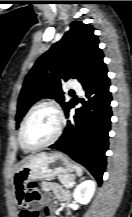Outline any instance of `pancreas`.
<instances>
[{"mask_svg": "<svg viewBox=\"0 0 132 217\" xmlns=\"http://www.w3.org/2000/svg\"><path fill=\"white\" fill-rule=\"evenodd\" d=\"M60 183L67 189L71 188V183H75V176L72 174L58 175Z\"/></svg>", "mask_w": 132, "mask_h": 217, "instance_id": "obj_1", "label": "pancreas"}]
</instances>
